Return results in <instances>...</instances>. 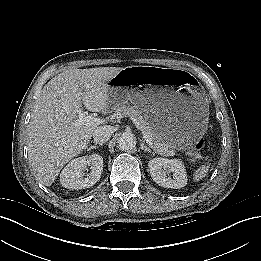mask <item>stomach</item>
<instances>
[{"label": "stomach", "mask_w": 261, "mask_h": 261, "mask_svg": "<svg viewBox=\"0 0 261 261\" xmlns=\"http://www.w3.org/2000/svg\"><path fill=\"white\" fill-rule=\"evenodd\" d=\"M134 75L150 79L147 89L129 88L117 83L110 86L109 105L116 108L127 102L147 114L158 138L178 150L193 147L208 123V100L198 82L183 71L152 66H130L121 70L114 81Z\"/></svg>", "instance_id": "obj_1"}]
</instances>
